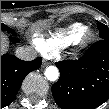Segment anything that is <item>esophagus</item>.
<instances>
[{"label": "esophagus", "instance_id": "34e87169", "mask_svg": "<svg viewBox=\"0 0 109 109\" xmlns=\"http://www.w3.org/2000/svg\"><path fill=\"white\" fill-rule=\"evenodd\" d=\"M48 65H49V62L46 61V60H43V62H42V67H46V66H48Z\"/></svg>", "mask_w": 109, "mask_h": 109}]
</instances>
